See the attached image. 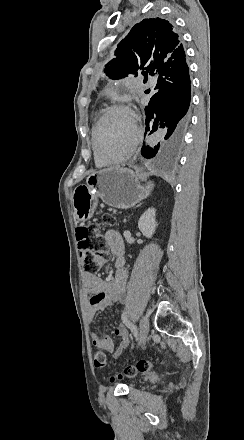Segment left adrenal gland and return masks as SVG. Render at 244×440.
Returning a JSON list of instances; mask_svg holds the SVG:
<instances>
[{
	"label": "left adrenal gland",
	"mask_w": 244,
	"mask_h": 440,
	"mask_svg": "<svg viewBox=\"0 0 244 440\" xmlns=\"http://www.w3.org/2000/svg\"><path fill=\"white\" fill-rule=\"evenodd\" d=\"M139 206H141V204H138V206H136V208H139Z\"/></svg>",
	"instance_id": "obj_1"
}]
</instances>
